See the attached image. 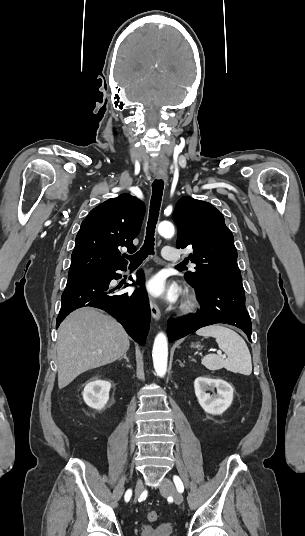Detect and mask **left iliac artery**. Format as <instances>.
Masks as SVG:
<instances>
[{"label": "left iliac artery", "mask_w": 305, "mask_h": 536, "mask_svg": "<svg viewBox=\"0 0 305 536\" xmlns=\"http://www.w3.org/2000/svg\"><path fill=\"white\" fill-rule=\"evenodd\" d=\"M173 481H174V483L176 485L177 490L180 493H182L184 491V486H183V483H182L181 479L178 476L175 475L173 477Z\"/></svg>", "instance_id": "obj_1"}]
</instances>
